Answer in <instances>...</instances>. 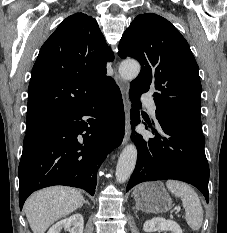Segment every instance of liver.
<instances>
[{"label": "liver", "instance_id": "6515ba94", "mask_svg": "<svg viewBox=\"0 0 227 233\" xmlns=\"http://www.w3.org/2000/svg\"><path fill=\"white\" fill-rule=\"evenodd\" d=\"M83 203L80 191L54 186L32 194L24 204V211L33 233H45L52 224L80 208Z\"/></svg>", "mask_w": 227, "mask_h": 233}]
</instances>
